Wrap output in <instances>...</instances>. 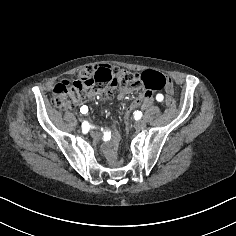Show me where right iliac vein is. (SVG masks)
Listing matches in <instances>:
<instances>
[{
    "mask_svg": "<svg viewBox=\"0 0 236 236\" xmlns=\"http://www.w3.org/2000/svg\"><path fill=\"white\" fill-rule=\"evenodd\" d=\"M91 136H96V131H91Z\"/></svg>",
    "mask_w": 236,
    "mask_h": 236,
    "instance_id": "1",
    "label": "right iliac vein"
}]
</instances>
